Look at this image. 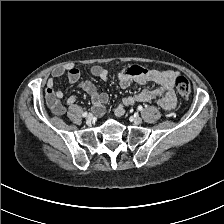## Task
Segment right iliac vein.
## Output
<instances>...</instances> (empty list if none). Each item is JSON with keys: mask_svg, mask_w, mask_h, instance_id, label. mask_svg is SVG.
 I'll use <instances>...</instances> for the list:
<instances>
[{"mask_svg": "<svg viewBox=\"0 0 224 224\" xmlns=\"http://www.w3.org/2000/svg\"><path fill=\"white\" fill-rule=\"evenodd\" d=\"M92 119H93V116H92L91 114L87 115V117H86V121H87L88 123H90V122L92 121Z\"/></svg>", "mask_w": 224, "mask_h": 224, "instance_id": "obj_1", "label": "right iliac vein"}]
</instances>
